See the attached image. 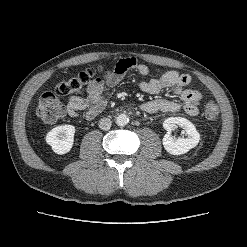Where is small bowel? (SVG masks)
<instances>
[{"label": "small bowel", "instance_id": "c3829d8e", "mask_svg": "<svg viewBox=\"0 0 247 247\" xmlns=\"http://www.w3.org/2000/svg\"><path fill=\"white\" fill-rule=\"evenodd\" d=\"M127 64L125 70H119L118 65ZM129 71H136L146 77L149 68L145 64L137 62L134 58L120 60L113 69L107 71L103 77L93 80L87 88L86 97L71 96L68 99L66 110L71 117H84L92 119L106 106L104 95L105 88L115 87ZM191 77L188 74L175 70L167 71L156 78L140 83V89L149 94H160L163 91H171L178 95L183 105L178 101L168 98H157L141 105V109L147 113L177 112L183 107L186 114L196 116L199 113L202 95L199 91L190 87Z\"/></svg>", "mask_w": 247, "mask_h": 247}]
</instances>
